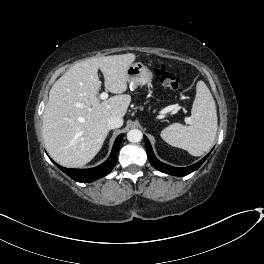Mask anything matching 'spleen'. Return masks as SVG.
I'll use <instances>...</instances> for the list:
<instances>
[{
    "mask_svg": "<svg viewBox=\"0 0 264 264\" xmlns=\"http://www.w3.org/2000/svg\"><path fill=\"white\" fill-rule=\"evenodd\" d=\"M190 126L173 123L161 131V138L171 146L201 156L212 146L218 128L213 96L203 81L196 85V97L191 109Z\"/></svg>",
    "mask_w": 264,
    "mask_h": 264,
    "instance_id": "1",
    "label": "spleen"
}]
</instances>
